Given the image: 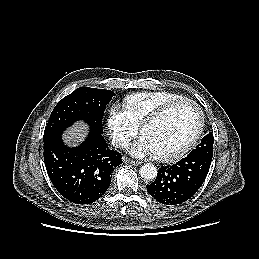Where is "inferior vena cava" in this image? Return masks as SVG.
Instances as JSON below:
<instances>
[{"mask_svg":"<svg viewBox=\"0 0 259 259\" xmlns=\"http://www.w3.org/2000/svg\"><path fill=\"white\" fill-rule=\"evenodd\" d=\"M116 146L126 147V146H128V141L127 140H120V141L116 142Z\"/></svg>","mask_w":259,"mask_h":259,"instance_id":"1","label":"inferior vena cava"}]
</instances>
